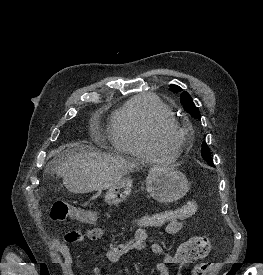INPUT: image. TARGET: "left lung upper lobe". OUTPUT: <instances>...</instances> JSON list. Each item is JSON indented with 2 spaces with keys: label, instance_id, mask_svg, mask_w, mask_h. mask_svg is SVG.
Returning a JSON list of instances; mask_svg holds the SVG:
<instances>
[{
  "label": "left lung upper lobe",
  "instance_id": "left-lung-upper-lobe-1",
  "mask_svg": "<svg viewBox=\"0 0 263 275\" xmlns=\"http://www.w3.org/2000/svg\"><path fill=\"white\" fill-rule=\"evenodd\" d=\"M171 90L175 93L181 92L182 89L179 86L171 85ZM181 103L184 107V110L188 112L192 117L200 119V113L198 108L194 105L193 99L187 92H183L180 96ZM202 158L210 165L214 166L213 160L210 156L209 148L206 142L202 143Z\"/></svg>",
  "mask_w": 263,
  "mask_h": 275
}]
</instances>
